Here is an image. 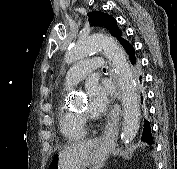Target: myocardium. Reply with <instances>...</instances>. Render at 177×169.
Listing matches in <instances>:
<instances>
[{
    "instance_id": "f54148a6",
    "label": "myocardium",
    "mask_w": 177,
    "mask_h": 169,
    "mask_svg": "<svg viewBox=\"0 0 177 169\" xmlns=\"http://www.w3.org/2000/svg\"><path fill=\"white\" fill-rule=\"evenodd\" d=\"M77 114H78V116H79L84 122L90 121V118H89L88 115H86V114H81V113H77Z\"/></svg>"
}]
</instances>
